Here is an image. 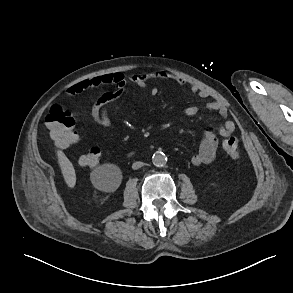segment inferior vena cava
Here are the masks:
<instances>
[{
    "label": "inferior vena cava",
    "mask_w": 293,
    "mask_h": 293,
    "mask_svg": "<svg viewBox=\"0 0 293 293\" xmlns=\"http://www.w3.org/2000/svg\"><path fill=\"white\" fill-rule=\"evenodd\" d=\"M143 165H144L143 162L137 161V162H134V163L132 164V168H133L134 170H137V169L141 168Z\"/></svg>",
    "instance_id": "1"
}]
</instances>
